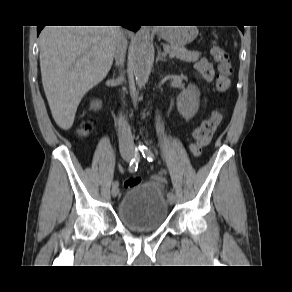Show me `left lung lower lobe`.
Masks as SVG:
<instances>
[{
	"label": "left lung lower lobe",
	"instance_id": "1",
	"mask_svg": "<svg viewBox=\"0 0 292 292\" xmlns=\"http://www.w3.org/2000/svg\"><path fill=\"white\" fill-rule=\"evenodd\" d=\"M240 30L244 33V27L243 26H239Z\"/></svg>",
	"mask_w": 292,
	"mask_h": 292
}]
</instances>
